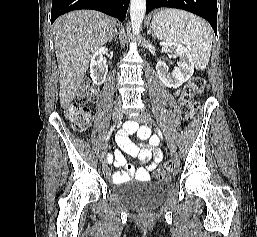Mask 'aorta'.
Here are the masks:
<instances>
[{"label":"aorta","mask_w":257,"mask_h":237,"mask_svg":"<svg viewBox=\"0 0 257 237\" xmlns=\"http://www.w3.org/2000/svg\"><path fill=\"white\" fill-rule=\"evenodd\" d=\"M146 9V0H131L130 19L132 33L137 38L140 35L141 25L144 19Z\"/></svg>","instance_id":"762f6f07"}]
</instances>
